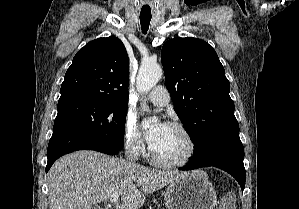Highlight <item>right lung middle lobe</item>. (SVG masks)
<instances>
[{
  "mask_svg": "<svg viewBox=\"0 0 299 209\" xmlns=\"http://www.w3.org/2000/svg\"><path fill=\"white\" fill-rule=\"evenodd\" d=\"M127 104L70 102L58 104L54 127H70L94 135L124 139Z\"/></svg>",
  "mask_w": 299,
  "mask_h": 209,
  "instance_id": "1",
  "label": "right lung middle lobe"
}]
</instances>
